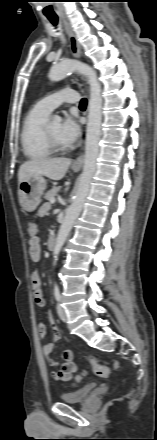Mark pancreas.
Wrapping results in <instances>:
<instances>
[{"label":"pancreas","mask_w":157,"mask_h":440,"mask_svg":"<svg viewBox=\"0 0 157 440\" xmlns=\"http://www.w3.org/2000/svg\"><path fill=\"white\" fill-rule=\"evenodd\" d=\"M60 190V188L59 187H54L53 189H51L50 191H48L45 195H44V198L46 199V200H51L52 198H54L56 195H57V193H58V191Z\"/></svg>","instance_id":"cf45deb5"}]
</instances>
